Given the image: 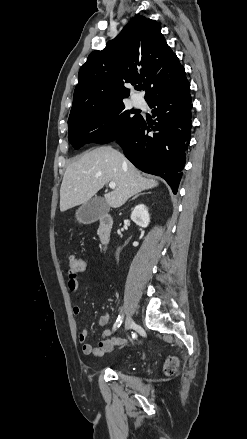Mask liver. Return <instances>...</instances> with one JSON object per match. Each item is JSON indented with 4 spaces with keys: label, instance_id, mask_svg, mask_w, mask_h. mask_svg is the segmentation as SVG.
Returning <instances> with one entry per match:
<instances>
[{
    "label": "liver",
    "instance_id": "liver-1",
    "mask_svg": "<svg viewBox=\"0 0 247 439\" xmlns=\"http://www.w3.org/2000/svg\"><path fill=\"white\" fill-rule=\"evenodd\" d=\"M108 182L116 184L112 192L104 195L112 208L158 185L155 179L143 177L119 151L109 146L98 147L67 166L60 188V211L86 203Z\"/></svg>",
    "mask_w": 247,
    "mask_h": 439
}]
</instances>
